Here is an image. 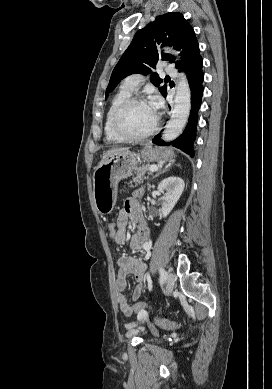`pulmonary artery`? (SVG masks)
Returning <instances> with one entry per match:
<instances>
[{
    "mask_svg": "<svg viewBox=\"0 0 272 389\" xmlns=\"http://www.w3.org/2000/svg\"><path fill=\"white\" fill-rule=\"evenodd\" d=\"M165 73L170 75V76H176L177 75V71L174 67L173 64L169 63V62H166V65H165V69H164ZM142 80V76L141 75H132L130 76L129 78H127L123 84L122 87H124L125 89H128L130 90L131 92H134L137 90V87L140 83V81Z\"/></svg>",
    "mask_w": 272,
    "mask_h": 389,
    "instance_id": "1",
    "label": "pulmonary artery"
}]
</instances>
